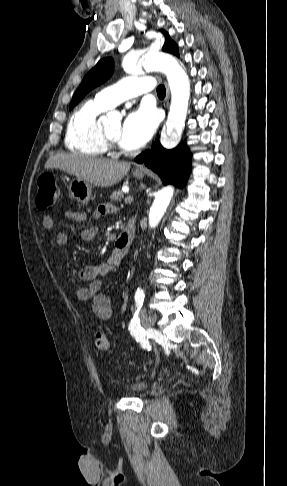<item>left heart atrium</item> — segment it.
I'll return each mask as SVG.
<instances>
[{
  "instance_id": "left-heart-atrium-1",
  "label": "left heart atrium",
  "mask_w": 287,
  "mask_h": 486,
  "mask_svg": "<svg viewBox=\"0 0 287 486\" xmlns=\"http://www.w3.org/2000/svg\"><path fill=\"white\" fill-rule=\"evenodd\" d=\"M156 127V112L143 105L126 116L121 128L120 144L129 150L140 148L149 141Z\"/></svg>"
}]
</instances>
